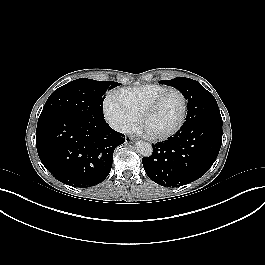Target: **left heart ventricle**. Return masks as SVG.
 Instances as JSON below:
<instances>
[{"instance_id":"left-heart-ventricle-1","label":"left heart ventricle","mask_w":265,"mask_h":265,"mask_svg":"<svg viewBox=\"0 0 265 265\" xmlns=\"http://www.w3.org/2000/svg\"><path fill=\"white\" fill-rule=\"evenodd\" d=\"M182 113V100L178 93H167L144 120L143 129L152 134L170 131L178 123Z\"/></svg>"}]
</instances>
